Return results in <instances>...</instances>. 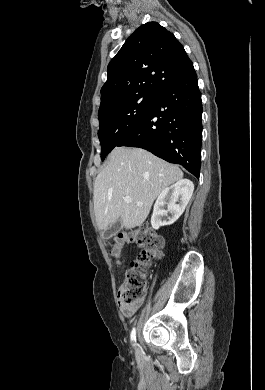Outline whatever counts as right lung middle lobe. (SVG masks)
<instances>
[{"label": "right lung middle lobe", "mask_w": 265, "mask_h": 390, "mask_svg": "<svg viewBox=\"0 0 265 390\" xmlns=\"http://www.w3.org/2000/svg\"><path fill=\"white\" fill-rule=\"evenodd\" d=\"M153 97L154 94H137L109 105L98 112V137L101 144L102 160L147 113Z\"/></svg>", "instance_id": "1"}]
</instances>
